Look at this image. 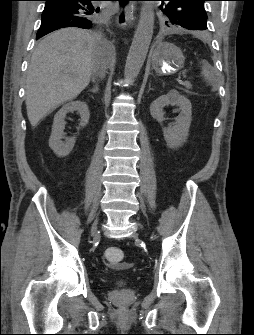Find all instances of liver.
I'll return each instance as SVG.
<instances>
[{
  "mask_svg": "<svg viewBox=\"0 0 254 335\" xmlns=\"http://www.w3.org/2000/svg\"><path fill=\"white\" fill-rule=\"evenodd\" d=\"M113 58L114 46L87 30L64 28L47 35L27 71L25 103L31 126L75 99L88 86L97 61L111 64Z\"/></svg>",
  "mask_w": 254,
  "mask_h": 335,
  "instance_id": "6515ba94",
  "label": "liver"
}]
</instances>
